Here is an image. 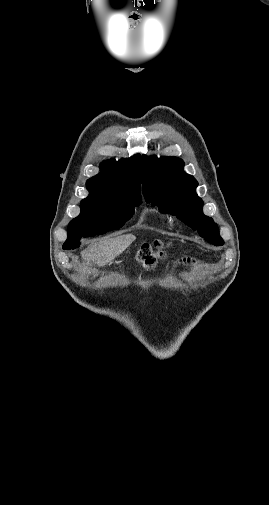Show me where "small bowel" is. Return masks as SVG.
<instances>
[{
    "instance_id": "obj_1",
    "label": "small bowel",
    "mask_w": 269,
    "mask_h": 505,
    "mask_svg": "<svg viewBox=\"0 0 269 505\" xmlns=\"http://www.w3.org/2000/svg\"><path fill=\"white\" fill-rule=\"evenodd\" d=\"M182 267L186 268V269H192L194 267V262L192 260H186L184 262H182Z\"/></svg>"
}]
</instances>
